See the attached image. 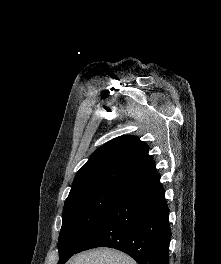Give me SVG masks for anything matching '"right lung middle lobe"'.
Instances as JSON below:
<instances>
[{
  "label": "right lung middle lobe",
  "instance_id": "right-lung-middle-lobe-1",
  "mask_svg": "<svg viewBox=\"0 0 221 264\" xmlns=\"http://www.w3.org/2000/svg\"><path fill=\"white\" fill-rule=\"evenodd\" d=\"M126 187L97 186L69 195L59 235V262L72 256L103 220Z\"/></svg>",
  "mask_w": 221,
  "mask_h": 264
}]
</instances>
